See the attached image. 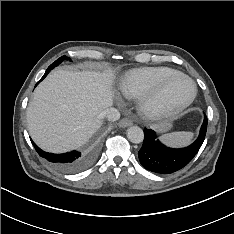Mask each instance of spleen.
I'll return each instance as SVG.
<instances>
[{
    "mask_svg": "<svg viewBox=\"0 0 234 234\" xmlns=\"http://www.w3.org/2000/svg\"><path fill=\"white\" fill-rule=\"evenodd\" d=\"M194 134L192 132H172L164 134L160 137V140L172 147L187 146L191 143Z\"/></svg>",
    "mask_w": 234,
    "mask_h": 234,
    "instance_id": "1",
    "label": "spleen"
}]
</instances>
